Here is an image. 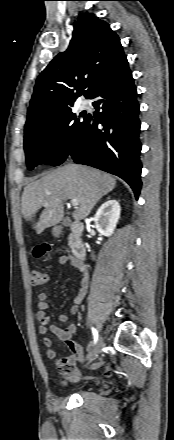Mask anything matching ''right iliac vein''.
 <instances>
[{"label": "right iliac vein", "mask_w": 174, "mask_h": 440, "mask_svg": "<svg viewBox=\"0 0 174 440\" xmlns=\"http://www.w3.org/2000/svg\"><path fill=\"white\" fill-rule=\"evenodd\" d=\"M101 346H102V337H100L93 350L88 354L87 356L88 361H92L98 356V354L100 353Z\"/></svg>", "instance_id": "obj_1"}]
</instances>
